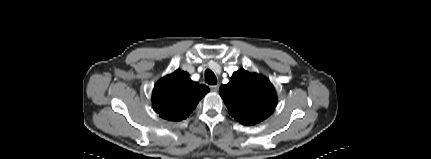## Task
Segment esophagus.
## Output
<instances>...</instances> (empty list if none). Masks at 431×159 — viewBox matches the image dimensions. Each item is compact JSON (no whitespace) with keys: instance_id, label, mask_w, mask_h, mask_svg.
<instances>
[{"instance_id":"1","label":"esophagus","mask_w":431,"mask_h":159,"mask_svg":"<svg viewBox=\"0 0 431 159\" xmlns=\"http://www.w3.org/2000/svg\"><path fill=\"white\" fill-rule=\"evenodd\" d=\"M210 89H211L212 91H214V92H217V91H218V89H219V84H217V85H211V86H210Z\"/></svg>"}]
</instances>
